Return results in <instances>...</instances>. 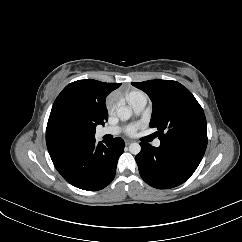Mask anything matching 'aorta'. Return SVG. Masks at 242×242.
I'll list each match as a JSON object with an SVG mask.
<instances>
[{
	"instance_id": "1",
	"label": "aorta",
	"mask_w": 242,
	"mask_h": 242,
	"mask_svg": "<svg viewBox=\"0 0 242 242\" xmlns=\"http://www.w3.org/2000/svg\"><path fill=\"white\" fill-rule=\"evenodd\" d=\"M117 116L122 120V121H126L128 120L131 115H132V110L131 108L127 107V106H121L118 107L116 110ZM129 151L130 153L137 155L140 153L141 151V146L139 143H131L129 146Z\"/></svg>"
}]
</instances>
